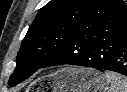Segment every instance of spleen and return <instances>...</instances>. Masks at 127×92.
<instances>
[{
	"label": "spleen",
	"instance_id": "3e777b00",
	"mask_svg": "<svg viewBox=\"0 0 127 92\" xmlns=\"http://www.w3.org/2000/svg\"><path fill=\"white\" fill-rule=\"evenodd\" d=\"M104 77L110 85L105 92H127V77L111 71H105Z\"/></svg>",
	"mask_w": 127,
	"mask_h": 92
}]
</instances>
